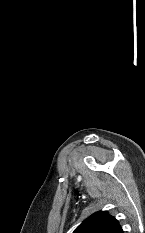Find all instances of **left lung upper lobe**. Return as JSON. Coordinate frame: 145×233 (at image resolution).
Wrapping results in <instances>:
<instances>
[{
    "label": "left lung upper lobe",
    "mask_w": 145,
    "mask_h": 233,
    "mask_svg": "<svg viewBox=\"0 0 145 233\" xmlns=\"http://www.w3.org/2000/svg\"><path fill=\"white\" fill-rule=\"evenodd\" d=\"M73 233H124L119 222L107 211H99L85 219Z\"/></svg>",
    "instance_id": "1"
}]
</instances>
